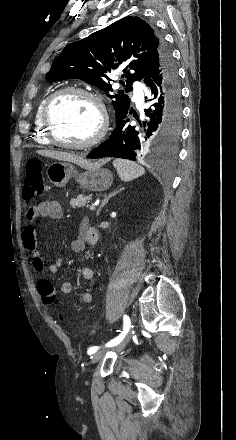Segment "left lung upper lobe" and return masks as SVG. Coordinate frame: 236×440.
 <instances>
[{
	"label": "left lung upper lobe",
	"instance_id": "obj_1",
	"mask_svg": "<svg viewBox=\"0 0 236 440\" xmlns=\"http://www.w3.org/2000/svg\"><path fill=\"white\" fill-rule=\"evenodd\" d=\"M162 53H170L163 37L144 20L128 16L65 47L53 61L46 79H81L107 92L112 91L106 82L111 80L108 74L121 69L124 81L120 84L124 90H119L120 95L107 93L114 99L112 104L117 118L130 106L124 92L132 90L133 81L143 80L151 61Z\"/></svg>",
	"mask_w": 236,
	"mask_h": 440
}]
</instances>
